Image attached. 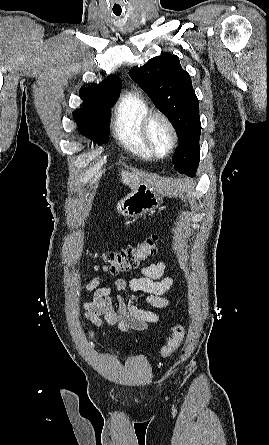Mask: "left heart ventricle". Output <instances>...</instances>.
I'll return each mask as SVG.
<instances>
[{"label": "left heart ventricle", "mask_w": 269, "mask_h": 445, "mask_svg": "<svg viewBox=\"0 0 269 445\" xmlns=\"http://www.w3.org/2000/svg\"><path fill=\"white\" fill-rule=\"evenodd\" d=\"M150 140L160 154H165L171 146V133L166 124L160 120L152 121L149 129Z\"/></svg>", "instance_id": "b2bd125f"}]
</instances>
